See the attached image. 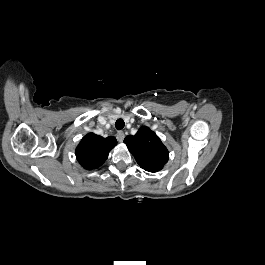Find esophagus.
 I'll return each instance as SVG.
<instances>
[{"mask_svg":"<svg viewBox=\"0 0 265 265\" xmlns=\"http://www.w3.org/2000/svg\"><path fill=\"white\" fill-rule=\"evenodd\" d=\"M117 140L119 141V142H123V140H124V137H125V134H124V132L123 131H118V133H117Z\"/></svg>","mask_w":265,"mask_h":265,"instance_id":"esophagus-1","label":"esophagus"}]
</instances>
